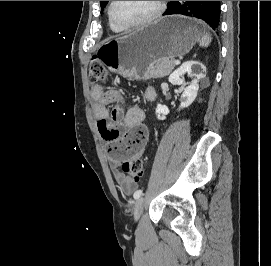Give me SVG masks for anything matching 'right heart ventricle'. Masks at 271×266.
<instances>
[{"label":"right heart ventricle","instance_id":"obj_1","mask_svg":"<svg viewBox=\"0 0 271 266\" xmlns=\"http://www.w3.org/2000/svg\"><path fill=\"white\" fill-rule=\"evenodd\" d=\"M108 23H109L110 29H111L113 32H115V33H121V32L123 31V29H120V28L116 27V26L110 21L109 17H108Z\"/></svg>","mask_w":271,"mask_h":266}]
</instances>
